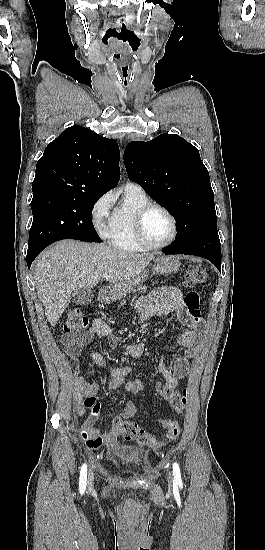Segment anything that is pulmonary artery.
I'll list each match as a JSON object with an SVG mask.
<instances>
[{
    "label": "pulmonary artery",
    "instance_id": "pulmonary-artery-1",
    "mask_svg": "<svg viewBox=\"0 0 265 550\" xmlns=\"http://www.w3.org/2000/svg\"><path fill=\"white\" fill-rule=\"evenodd\" d=\"M125 188L135 189V190L144 192L143 189H142L139 185L134 184V183H131V182H128V183L125 185Z\"/></svg>",
    "mask_w": 265,
    "mask_h": 550
}]
</instances>
